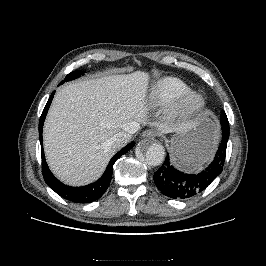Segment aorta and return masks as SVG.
Masks as SVG:
<instances>
[{
	"label": "aorta",
	"mask_w": 266,
	"mask_h": 266,
	"mask_svg": "<svg viewBox=\"0 0 266 266\" xmlns=\"http://www.w3.org/2000/svg\"><path fill=\"white\" fill-rule=\"evenodd\" d=\"M138 152L144 156L146 163L150 166L162 164L165 157V149L162 144L153 142L147 146L141 143L138 146Z\"/></svg>",
	"instance_id": "aorta-1"
}]
</instances>
